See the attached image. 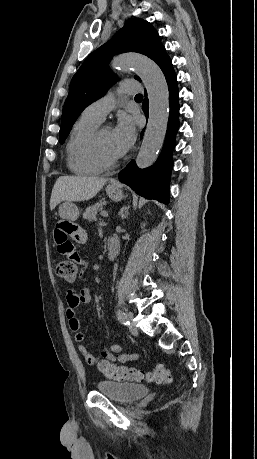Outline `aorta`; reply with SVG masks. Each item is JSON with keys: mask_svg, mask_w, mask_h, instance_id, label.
Instances as JSON below:
<instances>
[{"mask_svg": "<svg viewBox=\"0 0 257 459\" xmlns=\"http://www.w3.org/2000/svg\"><path fill=\"white\" fill-rule=\"evenodd\" d=\"M112 65L121 70L134 69L147 89L149 118L136 163L139 168L149 167L162 148L167 130L169 91L165 76L154 61L140 55H120Z\"/></svg>", "mask_w": 257, "mask_h": 459, "instance_id": "aorta-1", "label": "aorta"}]
</instances>
